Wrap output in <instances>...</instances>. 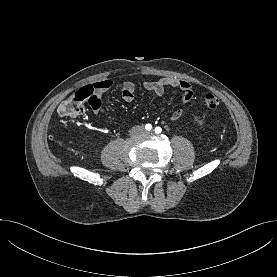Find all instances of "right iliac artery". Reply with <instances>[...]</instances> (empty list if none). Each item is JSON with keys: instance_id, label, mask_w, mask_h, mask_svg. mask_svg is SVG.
Wrapping results in <instances>:
<instances>
[{"instance_id": "1", "label": "right iliac artery", "mask_w": 277, "mask_h": 277, "mask_svg": "<svg viewBox=\"0 0 277 277\" xmlns=\"http://www.w3.org/2000/svg\"><path fill=\"white\" fill-rule=\"evenodd\" d=\"M147 131H150L152 129V125L151 124H146L145 126Z\"/></svg>"}]
</instances>
